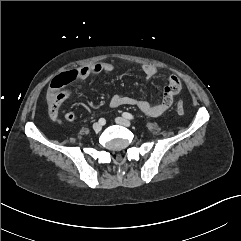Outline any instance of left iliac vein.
I'll return each instance as SVG.
<instances>
[{"mask_svg":"<svg viewBox=\"0 0 241 241\" xmlns=\"http://www.w3.org/2000/svg\"><path fill=\"white\" fill-rule=\"evenodd\" d=\"M115 122L119 125L125 126V127H130L131 126V122L123 117H117L115 119Z\"/></svg>","mask_w":241,"mask_h":241,"instance_id":"obj_1","label":"left iliac vein"}]
</instances>
